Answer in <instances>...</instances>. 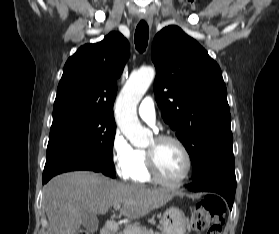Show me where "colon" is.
<instances>
[{
    "label": "colon",
    "mask_w": 279,
    "mask_h": 234,
    "mask_svg": "<svg viewBox=\"0 0 279 234\" xmlns=\"http://www.w3.org/2000/svg\"><path fill=\"white\" fill-rule=\"evenodd\" d=\"M225 215V201L220 196H207L195 205L191 228L195 231H206V234H223ZM79 234L89 233L80 231Z\"/></svg>",
    "instance_id": "obj_1"
}]
</instances>
